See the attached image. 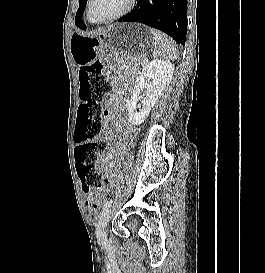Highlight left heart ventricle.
I'll return each mask as SVG.
<instances>
[{"label": "left heart ventricle", "mask_w": 265, "mask_h": 273, "mask_svg": "<svg viewBox=\"0 0 265 273\" xmlns=\"http://www.w3.org/2000/svg\"><path fill=\"white\" fill-rule=\"evenodd\" d=\"M129 0H92L90 14L93 19L101 20L111 17L128 5Z\"/></svg>", "instance_id": "b2bd125f"}]
</instances>
